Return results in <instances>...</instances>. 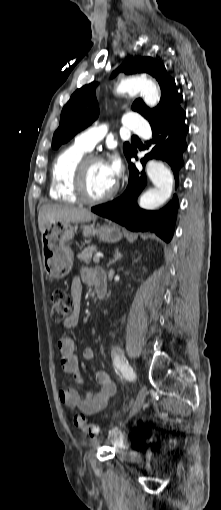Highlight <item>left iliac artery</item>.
<instances>
[{
	"label": "left iliac artery",
	"mask_w": 221,
	"mask_h": 510,
	"mask_svg": "<svg viewBox=\"0 0 221 510\" xmlns=\"http://www.w3.org/2000/svg\"><path fill=\"white\" fill-rule=\"evenodd\" d=\"M114 366L120 370L122 375L128 381H134L136 379V374L132 367L129 365L128 361L123 357L120 352H115L113 357Z\"/></svg>",
	"instance_id": "44dca946"
}]
</instances>
